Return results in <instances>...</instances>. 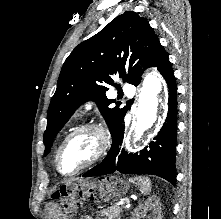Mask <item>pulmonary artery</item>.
I'll list each match as a JSON object with an SVG mask.
<instances>
[{"instance_id": "obj_1", "label": "pulmonary artery", "mask_w": 221, "mask_h": 219, "mask_svg": "<svg viewBox=\"0 0 221 219\" xmlns=\"http://www.w3.org/2000/svg\"><path fill=\"white\" fill-rule=\"evenodd\" d=\"M122 90L124 91L125 94L127 95H132L134 93V89L132 87V85L128 82H123L122 83ZM92 108V104L91 103H86L84 106V110L88 111Z\"/></svg>"}]
</instances>
